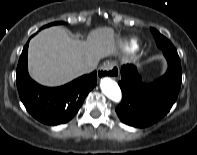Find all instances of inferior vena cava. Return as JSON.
Masks as SVG:
<instances>
[{"label": "inferior vena cava", "mask_w": 197, "mask_h": 155, "mask_svg": "<svg viewBox=\"0 0 197 155\" xmlns=\"http://www.w3.org/2000/svg\"><path fill=\"white\" fill-rule=\"evenodd\" d=\"M96 67H97V64H86V65H83L81 71L82 73H90L94 71Z\"/></svg>", "instance_id": "1"}]
</instances>
